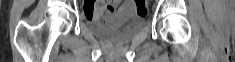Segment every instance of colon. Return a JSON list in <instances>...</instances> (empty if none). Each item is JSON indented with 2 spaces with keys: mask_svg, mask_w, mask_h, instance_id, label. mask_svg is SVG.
Instances as JSON below:
<instances>
[{
  "mask_svg": "<svg viewBox=\"0 0 235 62\" xmlns=\"http://www.w3.org/2000/svg\"><path fill=\"white\" fill-rule=\"evenodd\" d=\"M135 5L138 13L142 15L147 13V4L145 0H135ZM85 14L91 19H106L110 15V11L103 1H99L87 7Z\"/></svg>",
  "mask_w": 235,
  "mask_h": 62,
  "instance_id": "obj_1",
  "label": "colon"
}]
</instances>
